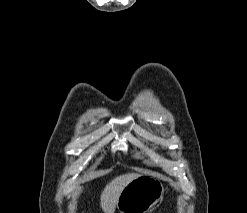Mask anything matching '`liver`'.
<instances>
[{
  "mask_svg": "<svg viewBox=\"0 0 247 213\" xmlns=\"http://www.w3.org/2000/svg\"><path fill=\"white\" fill-rule=\"evenodd\" d=\"M139 176L140 174L137 173L123 174L106 185L100 196V204L104 213H114L117 200L124 187Z\"/></svg>",
  "mask_w": 247,
  "mask_h": 213,
  "instance_id": "6515ba94",
  "label": "liver"
}]
</instances>
